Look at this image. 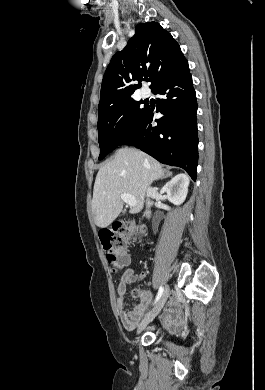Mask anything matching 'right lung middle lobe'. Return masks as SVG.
<instances>
[{
  "label": "right lung middle lobe",
  "mask_w": 265,
  "mask_h": 390,
  "mask_svg": "<svg viewBox=\"0 0 265 390\" xmlns=\"http://www.w3.org/2000/svg\"><path fill=\"white\" fill-rule=\"evenodd\" d=\"M141 104L131 98L98 113L99 160L122 145L142 122L149 106Z\"/></svg>",
  "instance_id": "right-lung-middle-lobe-1"
}]
</instances>
